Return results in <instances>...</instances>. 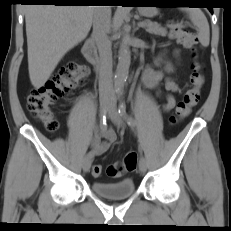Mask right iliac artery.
<instances>
[{"label": "right iliac artery", "instance_id": "1", "mask_svg": "<svg viewBox=\"0 0 231 231\" xmlns=\"http://www.w3.org/2000/svg\"><path fill=\"white\" fill-rule=\"evenodd\" d=\"M99 130L100 132H103V131H106L107 130V118L105 115L102 116L101 120H100V123H99ZM87 157H90V158H93L94 157V154L92 151H90L88 154H87Z\"/></svg>", "mask_w": 231, "mask_h": 231}]
</instances>
